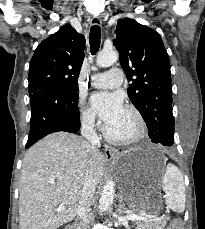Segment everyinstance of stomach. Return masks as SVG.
<instances>
[{"instance_id": "obj_1", "label": "stomach", "mask_w": 205, "mask_h": 229, "mask_svg": "<svg viewBox=\"0 0 205 229\" xmlns=\"http://www.w3.org/2000/svg\"><path fill=\"white\" fill-rule=\"evenodd\" d=\"M115 165L122 193L130 206L149 209L159 201L154 184L165 168L162 154L150 148H137L120 153Z\"/></svg>"}]
</instances>
